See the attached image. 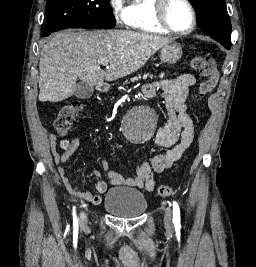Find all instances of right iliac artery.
<instances>
[{
    "instance_id": "obj_1",
    "label": "right iliac artery",
    "mask_w": 256,
    "mask_h": 267,
    "mask_svg": "<svg viewBox=\"0 0 256 267\" xmlns=\"http://www.w3.org/2000/svg\"><path fill=\"white\" fill-rule=\"evenodd\" d=\"M73 220H74V222H77V217H76V213H75V207L73 209Z\"/></svg>"
}]
</instances>
